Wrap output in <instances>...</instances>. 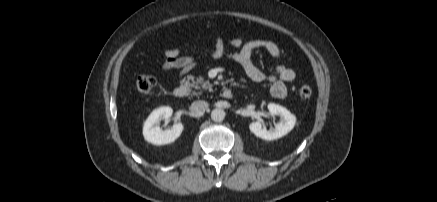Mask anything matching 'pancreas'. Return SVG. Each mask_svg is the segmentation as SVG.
I'll return each mask as SVG.
<instances>
[{
	"mask_svg": "<svg viewBox=\"0 0 437 202\" xmlns=\"http://www.w3.org/2000/svg\"><path fill=\"white\" fill-rule=\"evenodd\" d=\"M182 83L189 89H200V90H208L211 88V84L208 81H204L202 77H197L193 75H188L187 79H183ZM193 95H197L195 91H192Z\"/></svg>",
	"mask_w": 437,
	"mask_h": 202,
	"instance_id": "obj_1",
	"label": "pancreas"
}]
</instances>
